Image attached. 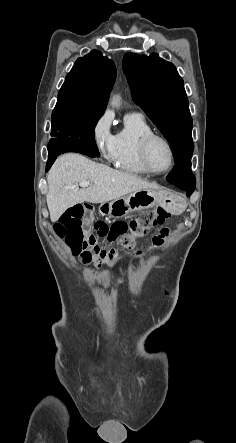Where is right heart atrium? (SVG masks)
Listing matches in <instances>:
<instances>
[{
    "instance_id": "obj_1",
    "label": "right heart atrium",
    "mask_w": 236,
    "mask_h": 443,
    "mask_svg": "<svg viewBox=\"0 0 236 443\" xmlns=\"http://www.w3.org/2000/svg\"><path fill=\"white\" fill-rule=\"evenodd\" d=\"M113 115L104 111L94 122L91 129V139L101 156L112 161L115 149V135L111 132Z\"/></svg>"
}]
</instances>
